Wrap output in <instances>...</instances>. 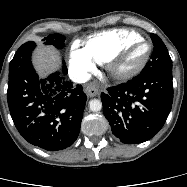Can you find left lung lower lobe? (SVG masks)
I'll use <instances>...</instances> for the list:
<instances>
[{"instance_id":"1","label":"left lung lower lobe","mask_w":187,"mask_h":187,"mask_svg":"<svg viewBox=\"0 0 187 187\" xmlns=\"http://www.w3.org/2000/svg\"><path fill=\"white\" fill-rule=\"evenodd\" d=\"M112 133L126 144L142 143L163 127L173 101L172 70L139 74L101 94Z\"/></svg>"}]
</instances>
